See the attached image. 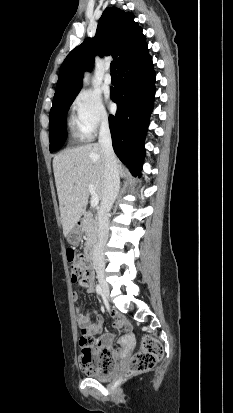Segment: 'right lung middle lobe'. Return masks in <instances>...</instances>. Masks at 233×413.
Returning <instances> with one entry per match:
<instances>
[{"label": "right lung middle lobe", "mask_w": 233, "mask_h": 413, "mask_svg": "<svg viewBox=\"0 0 233 413\" xmlns=\"http://www.w3.org/2000/svg\"><path fill=\"white\" fill-rule=\"evenodd\" d=\"M75 96L65 98L52 105L49 118L50 152L60 149L66 139V115Z\"/></svg>", "instance_id": "obj_1"}]
</instances>
